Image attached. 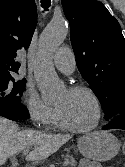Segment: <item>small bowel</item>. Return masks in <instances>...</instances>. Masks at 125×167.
<instances>
[{
	"mask_svg": "<svg viewBox=\"0 0 125 167\" xmlns=\"http://www.w3.org/2000/svg\"><path fill=\"white\" fill-rule=\"evenodd\" d=\"M79 167H101L97 164H92L89 161L84 160Z\"/></svg>",
	"mask_w": 125,
	"mask_h": 167,
	"instance_id": "small-bowel-1",
	"label": "small bowel"
}]
</instances>
